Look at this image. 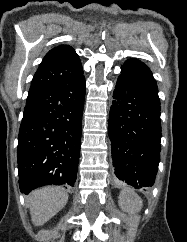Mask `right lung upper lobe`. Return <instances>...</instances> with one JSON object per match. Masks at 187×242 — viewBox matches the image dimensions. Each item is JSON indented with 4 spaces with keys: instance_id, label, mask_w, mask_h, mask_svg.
Segmentation results:
<instances>
[{
    "instance_id": "right-lung-upper-lobe-1",
    "label": "right lung upper lobe",
    "mask_w": 187,
    "mask_h": 242,
    "mask_svg": "<svg viewBox=\"0 0 187 242\" xmlns=\"http://www.w3.org/2000/svg\"><path fill=\"white\" fill-rule=\"evenodd\" d=\"M83 74L79 56L69 45L50 50L38 67L29 93H36L70 83Z\"/></svg>"
}]
</instances>
